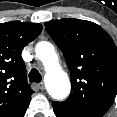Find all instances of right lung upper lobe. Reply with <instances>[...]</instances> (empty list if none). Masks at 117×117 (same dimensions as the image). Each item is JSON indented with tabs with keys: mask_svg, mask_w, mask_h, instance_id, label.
<instances>
[{
	"mask_svg": "<svg viewBox=\"0 0 117 117\" xmlns=\"http://www.w3.org/2000/svg\"><path fill=\"white\" fill-rule=\"evenodd\" d=\"M42 31L41 24L0 23V117H23L33 90L21 53Z\"/></svg>",
	"mask_w": 117,
	"mask_h": 117,
	"instance_id": "cb5924a9",
	"label": "right lung upper lobe"
}]
</instances>
